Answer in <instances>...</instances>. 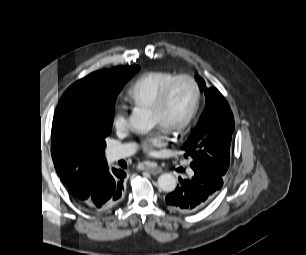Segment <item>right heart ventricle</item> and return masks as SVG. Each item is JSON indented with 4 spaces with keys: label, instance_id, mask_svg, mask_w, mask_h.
<instances>
[{
    "label": "right heart ventricle",
    "instance_id": "obj_1",
    "mask_svg": "<svg viewBox=\"0 0 306 255\" xmlns=\"http://www.w3.org/2000/svg\"><path fill=\"white\" fill-rule=\"evenodd\" d=\"M178 74L153 70L141 74L129 87V98L136 107H150L156 96Z\"/></svg>",
    "mask_w": 306,
    "mask_h": 255
}]
</instances>
